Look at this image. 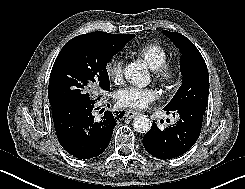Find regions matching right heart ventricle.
Wrapping results in <instances>:
<instances>
[{"instance_id":"right-heart-ventricle-1","label":"right heart ventricle","mask_w":245,"mask_h":189,"mask_svg":"<svg viewBox=\"0 0 245 189\" xmlns=\"http://www.w3.org/2000/svg\"><path fill=\"white\" fill-rule=\"evenodd\" d=\"M134 53L144 59L147 65L155 70L168 59L167 51L159 44L147 43L138 46Z\"/></svg>"}]
</instances>
